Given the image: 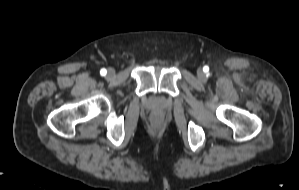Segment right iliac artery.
I'll return each mask as SVG.
<instances>
[{
  "label": "right iliac artery",
  "instance_id": "right-iliac-artery-1",
  "mask_svg": "<svg viewBox=\"0 0 299 190\" xmlns=\"http://www.w3.org/2000/svg\"><path fill=\"white\" fill-rule=\"evenodd\" d=\"M106 73H107L106 69H104V68L101 69L100 74H101L102 76L106 75Z\"/></svg>",
  "mask_w": 299,
  "mask_h": 190
}]
</instances>
